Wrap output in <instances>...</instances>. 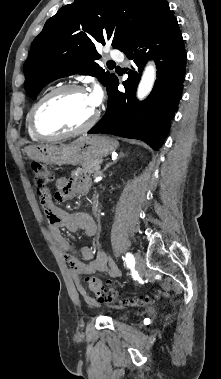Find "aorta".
Masks as SVG:
<instances>
[{
    "instance_id": "1",
    "label": "aorta",
    "mask_w": 221,
    "mask_h": 379,
    "mask_svg": "<svg viewBox=\"0 0 221 379\" xmlns=\"http://www.w3.org/2000/svg\"><path fill=\"white\" fill-rule=\"evenodd\" d=\"M156 78V69L153 65H148L142 75L137 90L138 99H144L152 90Z\"/></svg>"
}]
</instances>
